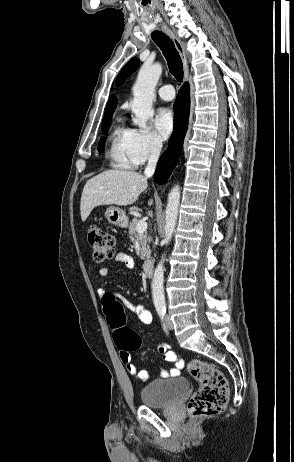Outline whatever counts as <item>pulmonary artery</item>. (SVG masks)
Here are the masks:
<instances>
[{
  "label": "pulmonary artery",
  "mask_w": 294,
  "mask_h": 462,
  "mask_svg": "<svg viewBox=\"0 0 294 462\" xmlns=\"http://www.w3.org/2000/svg\"><path fill=\"white\" fill-rule=\"evenodd\" d=\"M159 97L164 101H171L175 97V91L172 85H164L158 90Z\"/></svg>",
  "instance_id": "pulmonary-artery-1"
}]
</instances>
